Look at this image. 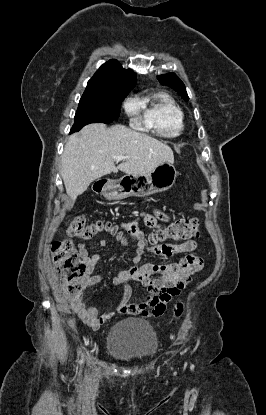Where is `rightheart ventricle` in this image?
<instances>
[{
	"label": "right heart ventricle",
	"instance_id": "e07e8e85",
	"mask_svg": "<svg viewBox=\"0 0 266 415\" xmlns=\"http://www.w3.org/2000/svg\"><path fill=\"white\" fill-rule=\"evenodd\" d=\"M144 125L166 137L179 135L184 128L182 109L167 94L158 93L139 101Z\"/></svg>",
	"mask_w": 266,
	"mask_h": 415
}]
</instances>
